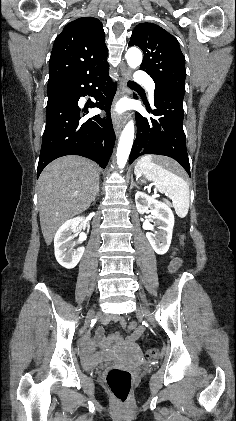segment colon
I'll return each mask as SVG.
<instances>
[{
    "mask_svg": "<svg viewBox=\"0 0 236 421\" xmlns=\"http://www.w3.org/2000/svg\"><path fill=\"white\" fill-rule=\"evenodd\" d=\"M182 241H185V235L181 236ZM157 350L155 348H150L146 352L148 358H153L157 355ZM106 383L113 393V395L121 402L126 401L129 396L133 378L132 374L123 368H112L108 371L106 375Z\"/></svg>",
    "mask_w": 236,
    "mask_h": 421,
    "instance_id": "obj_1",
    "label": "colon"
}]
</instances>
